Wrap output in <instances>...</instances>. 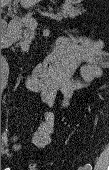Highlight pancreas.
<instances>
[{
    "label": "pancreas",
    "instance_id": "1",
    "mask_svg": "<svg viewBox=\"0 0 109 170\" xmlns=\"http://www.w3.org/2000/svg\"><path fill=\"white\" fill-rule=\"evenodd\" d=\"M86 10L84 8H75L73 6L64 5L60 10H58L56 16L62 18H75L76 16L82 15ZM34 36V30L28 25L23 23V41L21 46H26L29 44Z\"/></svg>",
    "mask_w": 109,
    "mask_h": 170
}]
</instances>
